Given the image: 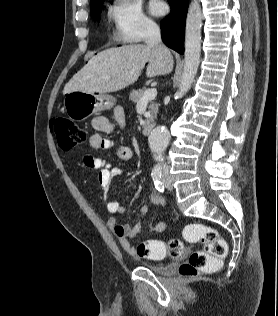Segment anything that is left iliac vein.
<instances>
[{
  "label": "left iliac vein",
  "instance_id": "4c4485c4",
  "mask_svg": "<svg viewBox=\"0 0 278 316\" xmlns=\"http://www.w3.org/2000/svg\"><path fill=\"white\" fill-rule=\"evenodd\" d=\"M163 184L165 185V187L168 189V190H172V183L168 177L167 174H164L163 175Z\"/></svg>",
  "mask_w": 278,
  "mask_h": 316
}]
</instances>
